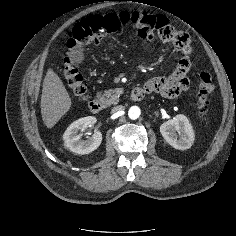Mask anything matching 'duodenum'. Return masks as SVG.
<instances>
[{"label": "duodenum", "mask_w": 236, "mask_h": 236, "mask_svg": "<svg viewBox=\"0 0 236 236\" xmlns=\"http://www.w3.org/2000/svg\"><path fill=\"white\" fill-rule=\"evenodd\" d=\"M145 95V90L142 87H135L131 91V98L134 101H139L141 100ZM89 110L92 113H100L104 110L105 108V103L99 99H92L88 103Z\"/></svg>", "instance_id": "410a0bca"}]
</instances>
